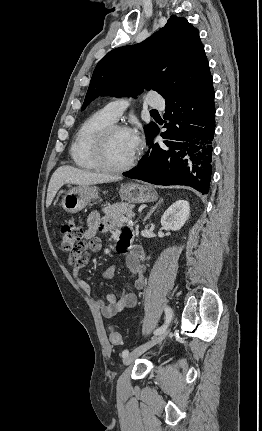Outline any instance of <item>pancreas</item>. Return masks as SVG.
<instances>
[{
  "label": "pancreas",
  "mask_w": 262,
  "mask_h": 431,
  "mask_svg": "<svg viewBox=\"0 0 262 431\" xmlns=\"http://www.w3.org/2000/svg\"><path fill=\"white\" fill-rule=\"evenodd\" d=\"M132 205L127 203H115L113 205H109L103 209L107 218L112 219L117 225L122 226L123 221L122 217L132 215Z\"/></svg>",
  "instance_id": "obj_1"
}]
</instances>
